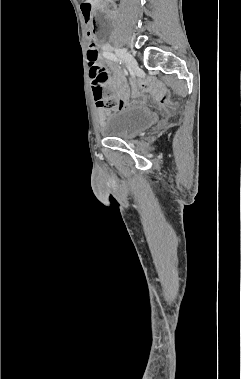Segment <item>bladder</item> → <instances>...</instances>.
Segmentation results:
<instances>
[{"mask_svg": "<svg viewBox=\"0 0 241 379\" xmlns=\"http://www.w3.org/2000/svg\"><path fill=\"white\" fill-rule=\"evenodd\" d=\"M159 119L156 112L130 108L111 114L101 126V133L110 138L130 140Z\"/></svg>", "mask_w": 241, "mask_h": 379, "instance_id": "bladder-1", "label": "bladder"}]
</instances>
